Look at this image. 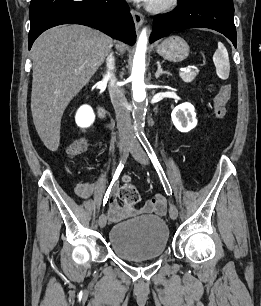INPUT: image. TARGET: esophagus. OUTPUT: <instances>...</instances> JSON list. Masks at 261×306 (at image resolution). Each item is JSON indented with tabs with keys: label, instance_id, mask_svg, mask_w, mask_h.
<instances>
[{
	"label": "esophagus",
	"instance_id": "esophagus-1",
	"mask_svg": "<svg viewBox=\"0 0 261 306\" xmlns=\"http://www.w3.org/2000/svg\"><path fill=\"white\" fill-rule=\"evenodd\" d=\"M131 14H132L136 29H139L142 26V24L144 23L143 14L138 12L135 9L131 10Z\"/></svg>",
	"mask_w": 261,
	"mask_h": 306
}]
</instances>
